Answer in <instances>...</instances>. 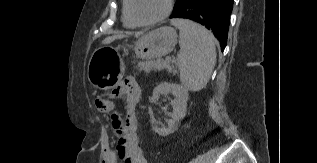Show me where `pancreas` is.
<instances>
[{
    "mask_svg": "<svg viewBox=\"0 0 317 163\" xmlns=\"http://www.w3.org/2000/svg\"><path fill=\"white\" fill-rule=\"evenodd\" d=\"M137 68L140 71H145V72H150L152 70H162V69L172 70V66L170 65L169 60L141 61L138 63Z\"/></svg>",
    "mask_w": 317,
    "mask_h": 163,
    "instance_id": "pancreas-1",
    "label": "pancreas"
}]
</instances>
